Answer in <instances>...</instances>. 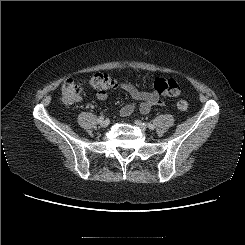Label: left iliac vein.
<instances>
[{
	"label": "left iliac vein",
	"mask_w": 245,
	"mask_h": 245,
	"mask_svg": "<svg viewBox=\"0 0 245 245\" xmlns=\"http://www.w3.org/2000/svg\"><path fill=\"white\" fill-rule=\"evenodd\" d=\"M134 123L138 128H140L143 131H146L147 129L146 125L143 124L140 120H135Z\"/></svg>",
	"instance_id": "obj_1"
}]
</instances>
